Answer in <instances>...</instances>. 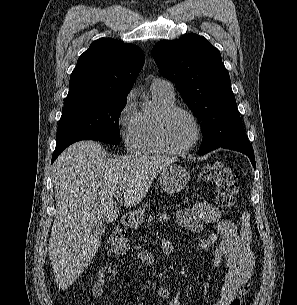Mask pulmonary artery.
Segmentation results:
<instances>
[{"label":"pulmonary artery","mask_w":297,"mask_h":305,"mask_svg":"<svg viewBox=\"0 0 297 305\" xmlns=\"http://www.w3.org/2000/svg\"><path fill=\"white\" fill-rule=\"evenodd\" d=\"M151 89L161 91L169 97L175 96V90L173 84L166 79L157 78L151 83Z\"/></svg>","instance_id":"1"}]
</instances>
